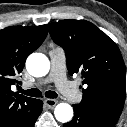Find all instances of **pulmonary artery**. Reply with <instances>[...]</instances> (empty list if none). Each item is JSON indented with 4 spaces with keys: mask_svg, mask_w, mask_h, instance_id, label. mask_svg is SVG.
Instances as JSON below:
<instances>
[{
    "mask_svg": "<svg viewBox=\"0 0 127 127\" xmlns=\"http://www.w3.org/2000/svg\"><path fill=\"white\" fill-rule=\"evenodd\" d=\"M50 72L46 79L40 81V84L54 82L61 94L68 100H76L79 92L66 80L65 76V54L60 48H52L49 51Z\"/></svg>",
    "mask_w": 127,
    "mask_h": 127,
    "instance_id": "obj_1",
    "label": "pulmonary artery"
}]
</instances>
